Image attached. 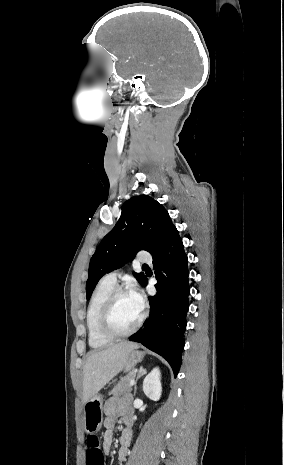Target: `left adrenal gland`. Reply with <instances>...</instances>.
<instances>
[{
	"instance_id": "obj_1",
	"label": "left adrenal gland",
	"mask_w": 284,
	"mask_h": 465,
	"mask_svg": "<svg viewBox=\"0 0 284 465\" xmlns=\"http://www.w3.org/2000/svg\"><path fill=\"white\" fill-rule=\"evenodd\" d=\"M146 373H147L146 369H143V367H140V369L138 371V375L136 377L135 385H134V395H133V397H135V395L137 393V381H138V379H140V377H143V375H146Z\"/></svg>"
}]
</instances>
